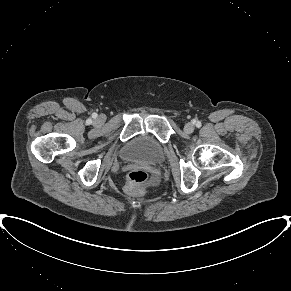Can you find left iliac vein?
Wrapping results in <instances>:
<instances>
[{"label":"left iliac vein","mask_w":291,"mask_h":291,"mask_svg":"<svg viewBox=\"0 0 291 291\" xmlns=\"http://www.w3.org/2000/svg\"><path fill=\"white\" fill-rule=\"evenodd\" d=\"M184 131L187 133V134H190L194 131V125L192 123H187L185 124L184 126Z\"/></svg>","instance_id":"4c4485c4"}]
</instances>
